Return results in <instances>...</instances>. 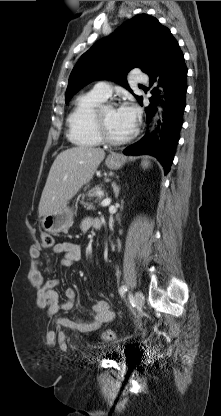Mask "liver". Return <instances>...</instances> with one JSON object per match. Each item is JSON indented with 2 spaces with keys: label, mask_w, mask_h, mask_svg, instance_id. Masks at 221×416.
<instances>
[{
  "label": "liver",
  "mask_w": 221,
  "mask_h": 416,
  "mask_svg": "<svg viewBox=\"0 0 221 416\" xmlns=\"http://www.w3.org/2000/svg\"><path fill=\"white\" fill-rule=\"evenodd\" d=\"M104 158L103 149L86 146L61 152L50 168L39 202V215H50L66 207L79 189L93 178Z\"/></svg>",
  "instance_id": "6515ba94"
}]
</instances>
